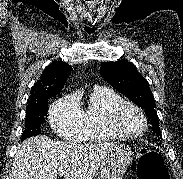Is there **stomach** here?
<instances>
[{"label": "stomach", "mask_w": 183, "mask_h": 179, "mask_svg": "<svg viewBox=\"0 0 183 179\" xmlns=\"http://www.w3.org/2000/svg\"><path fill=\"white\" fill-rule=\"evenodd\" d=\"M134 153L129 145L116 144L101 163L98 179H123Z\"/></svg>", "instance_id": "stomach-1"}]
</instances>
